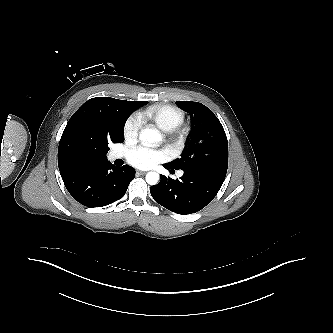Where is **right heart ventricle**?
<instances>
[{
	"label": "right heart ventricle",
	"mask_w": 333,
	"mask_h": 333,
	"mask_svg": "<svg viewBox=\"0 0 333 333\" xmlns=\"http://www.w3.org/2000/svg\"><path fill=\"white\" fill-rule=\"evenodd\" d=\"M139 116L142 120L152 122L162 131L167 132L183 123L185 113L173 104H154L147 107Z\"/></svg>",
	"instance_id": "obj_1"
}]
</instances>
